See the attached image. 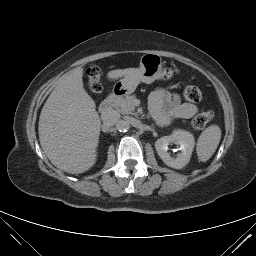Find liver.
Listing matches in <instances>:
<instances>
[{
	"instance_id": "obj_1",
	"label": "liver",
	"mask_w": 256,
	"mask_h": 256,
	"mask_svg": "<svg viewBox=\"0 0 256 256\" xmlns=\"http://www.w3.org/2000/svg\"><path fill=\"white\" fill-rule=\"evenodd\" d=\"M137 68L108 72L118 79ZM83 68L65 74L45 102L39 119V140L57 168L80 174L96 162L101 121L94 100L83 87Z\"/></svg>"
}]
</instances>
